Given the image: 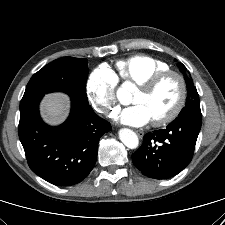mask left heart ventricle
I'll return each instance as SVG.
<instances>
[{
    "label": "left heart ventricle",
    "instance_id": "1",
    "mask_svg": "<svg viewBox=\"0 0 225 225\" xmlns=\"http://www.w3.org/2000/svg\"><path fill=\"white\" fill-rule=\"evenodd\" d=\"M178 93L179 87L176 79L169 77L152 92H145L138 88L132 103L143 105L149 112L151 120H154L162 117L174 106Z\"/></svg>",
    "mask_w": 225,
    "mask_h": 225
}]
</instances>
